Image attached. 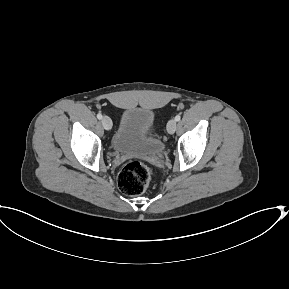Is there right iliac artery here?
Returning <instances> with one entry per match:
<instances>
[{
    "instance_id": "obj_1",
    "label": "right iliac artery",
    "mask_w": 289,
    "mask_h": 289,
    "mask_svg": "<svg viewBox=\"0 0 289 289\" xmlns=\"http://www.w3.org/2000/svg\"><path fill=\"white\" fill-rule=\"evenodd\" d=\"M102 117H103V116H102V114H101V113H98V114H97V118H98L99 120H101V119H102Z\"/></svg>"
}]
</instances>
